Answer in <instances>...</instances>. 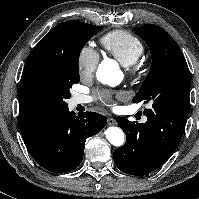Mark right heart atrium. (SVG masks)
Wrapping results in <instances>:
<instances>
[{
  "mask_svg": "<svg viewBox=\"0 0 199 199\" xmlns=\"http://www.w3.org/2000/svg\"><path fill=\"white\" fill-rule=\"evenodd\" d=\"M99 63V55L94 48L85 45L81 48L78 59L77 68L81 77L92 75Z\"/></svg>",
  "mask_w": 199,
  "mask_h": 199,
  "instance_id": "d8ad5b80",
  "label": "right heart atrium"
}]
</instances>
